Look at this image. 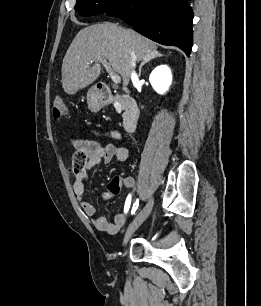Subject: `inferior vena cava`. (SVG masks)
Segmentation results:
<instances>
[{"label":"inferior vena cava","instance_id":"inferior-vena-cava-1","mask_svg":"<svg viewBox=\"0 0 261 306\" xmlns=\"http://www.w3.org/2000/svg\"><path fill=\"white\" fill-rule=\"evenodd\" d=\"M135 67H136V56L134 52H131V79L138 78L135 72Z\"/></svg>","mask_w":261,"mask_h":306}]
</instances>
